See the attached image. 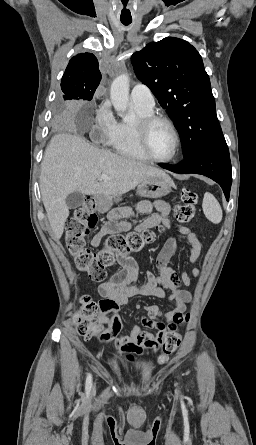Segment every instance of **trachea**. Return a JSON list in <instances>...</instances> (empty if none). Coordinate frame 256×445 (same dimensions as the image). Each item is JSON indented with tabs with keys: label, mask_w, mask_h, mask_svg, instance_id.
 <instances>
[{
	"label": "trachea",
	"mask_w": 256,
	"mask_h": 445,
	"mask_svg": "<svg viewBox=\"0 0 256 445\" xmlns=\"http://www.w3.org/2000/svg\"><path fill=\"white\" fill-rule=\"evenodd\" d=\"M121 22L127 26L131 23V20H121Z\"/></svg>",
	"instance_id": "1"
}]
</instances>
